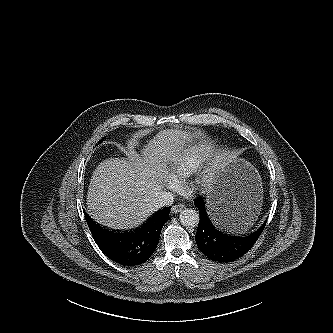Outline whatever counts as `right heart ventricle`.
<instances>
[{"label":"right heart ventricle","instance_id":"obj_1","mask_svg":"<svg viewBox=\"0 0 333 333\" xmlns=\"http://www.w3.org/2000/svg\"><path fill=\"white\" fill-rule=\"evenodd\" d=\"M207 144H194L186 147L170 159V170L176 178L192 175L207 160L211 153Z\"/></svg>","mask_w":333,"mask_h":333}]
</instances>
